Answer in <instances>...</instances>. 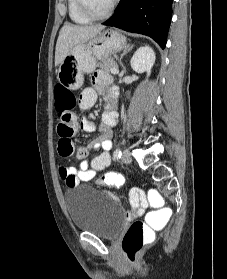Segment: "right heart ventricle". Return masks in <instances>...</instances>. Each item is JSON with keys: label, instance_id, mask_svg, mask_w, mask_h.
<instances>
[{"label": "right heart ventricle", "instance_id": "obj_1", "mask_svg": "<svg viewBox=\"0 0 227 279\" xmlns=\"http://www.w3.org/2000/svg\"><path fill=\"white\" fill-rule=\"evenodd\" d=\"M68 15L76 24H88L90 19L84 16L78 8L76 0H67Z\"/></svg>", "mask_w": 227, "mask_h": 279}]
</instances>
